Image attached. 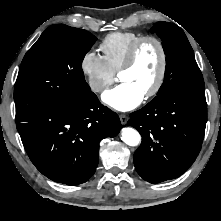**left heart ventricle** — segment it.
I'll list each match as a JSON object with an SVG mask.
<instances>
[{"mask_svg": "<svg viewBox=\"0 0 221 221\" xmlns=\"http://www.w3.org/2000/svg\"><path fill=\"white\" fill-rule=\"evenodd\" d=\"M160 66V53L153 42L145 43L137 56L135 65L119 76L122 83H131L144 95L154 85Z\"/></svg>", "mask_w": 221, "mask_h": 221, "instance_id": "1", "label": "left heart ventricle"}]
</instances>
